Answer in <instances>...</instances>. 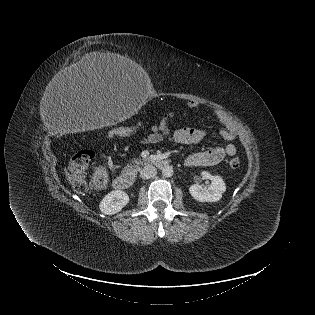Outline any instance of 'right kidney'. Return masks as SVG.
Wrapping results in <instances>:
<instances>
[{
  "label": "right kidney",
  "mask_w": 315,
  "mask_h": 315,
  "mask_svg": "<svg viewBox=\"0 0 315 315\" xmlns=\"http://www.w3.org/2000/svg\"><path fill=\"white\" fill-rule=\"evenodd\" d=\"M129 202V196L122 190L108 193L100 202L99 209L105 215H113L122 210Z\"/></svg>",
  "instance_id": "obj_1"
}]
</instances>
